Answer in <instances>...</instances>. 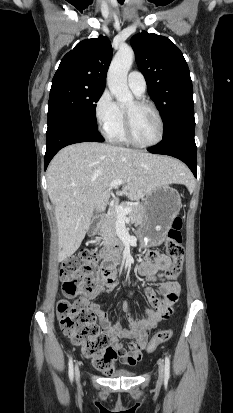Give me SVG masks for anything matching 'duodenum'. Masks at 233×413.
<instances>
[{
	"instance_id": "obj_1",
	"label": "duodenum",
	"mask_w": 233,
	"mask_h": 413,
	"mask_svg": "<svg viewBox=\"0 0 233 413\" xmlns=\"http://www.w3.org/2000/svg\"><path fill=\"white\" fill-rule=\"evenodd\" d=\"M98 224H94L91 233L94 234L97 231ZM124 244L122 241H115L110 244L104 251L103 256L106 261H111L117 258L118 254L123 250Z\"/></svg>"
}]
</instances>
